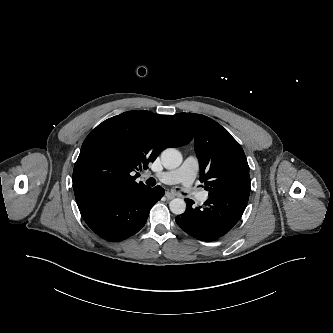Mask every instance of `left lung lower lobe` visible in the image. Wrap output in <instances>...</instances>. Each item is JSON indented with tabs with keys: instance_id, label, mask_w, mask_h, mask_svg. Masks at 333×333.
<instances>
[{
	"instance_id": "1",
	"label": "left lung lower lobe",
	"mask_w": 333,
	"mask_h": 333,
	"mask_svg": "<svg viewBox=\"0 0 333 333\" xmlns=\"http://www.w3.org/2000/svg\"><path fill=\"white\" fill-rule=\"evenodd\" d=\"M250 194L249 174L227 179L209 190L205 208L193 207L185 199L187 209L176 217L181 229L194 238L215 241L226 234L241 218Z\"/></svg>"
}]
</instances>
